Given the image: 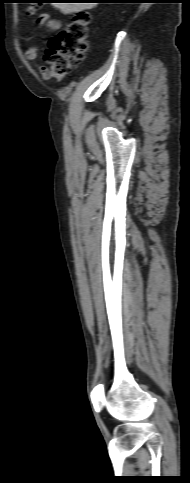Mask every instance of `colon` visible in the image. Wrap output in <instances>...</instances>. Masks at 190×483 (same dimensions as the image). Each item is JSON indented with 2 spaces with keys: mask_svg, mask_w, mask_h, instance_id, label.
Segmentation results:
<instances>
[{
  "mask_svg": "<svg viewBox=\"0 0 190 483\" xmlns=\"http://www.w3.org/2000/svg\"><path fill=\"white\" fill-rule=\"evenodd\" d=\"M36 8L27 10L29 15L35 13ZM89 14L78 12L65 28L52 38L44 54L45 72L53 79L64 78L71 69L83 61L88 49Z\"/></svg>",
  "mask_w": 190,
  "mask_h": 483,
  "instance_id": "obj_1",
  "label": "colon"
}]
</instances>
